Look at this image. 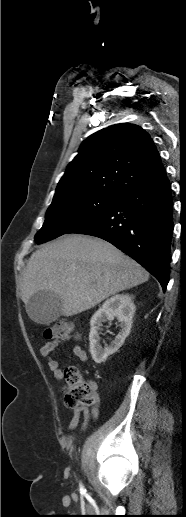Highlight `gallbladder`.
I'll return each mask as SVG.
<instances>
[{
    "mask_svg": "<svg viewBox=\"0 0 186 517\" xmlns=\"http://www.w3.org/2000/svg\"><path fill=\"white\" fill-rule=\"evenodd\" d=\"M62 301L50 291H39L32 295L26 305L29 317L41 324H50L61 315Z\"/></svg>",
    "mask_w": 186,
    "mask_h": 517,
    "instance_id": "bac80fb5",
    "label": "gallbladder"
}]
</instances>
